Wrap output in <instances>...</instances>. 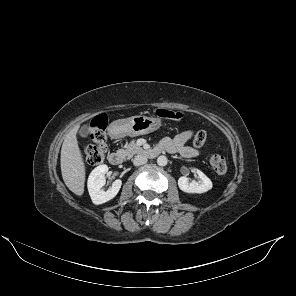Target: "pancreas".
Instances as JSON below:
<instances>
[{
  "label": "pancreas",
  "mask_w": 296,
  "mask_h": 296,
  "mask_svg": "<svg viewBox=\"0 0 296 296\" xmlns=\"http://www.w3.org/2000/svg\"><path fill=\"white\" fill-rule=\"evenodd\" d=\"M120 152L123 154L124 157L130 159L135 154H141L144 152L143 148L137 145L135 140H131L130 143L124 146V149H121Z\"/></svg>",
  "instance_id": "obj_1"
}]
</instances>
